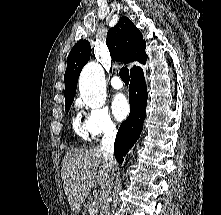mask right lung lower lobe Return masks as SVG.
Returning a JSON list of instances; mask_svg holds the SVG:
<instances>
[{
	"label": "right lung lower lobe",
	"mask_w": 221,
	"mask_h": 215,
	"mask_svg": "<svg viewBox=\"0 0 221 215\" xmlns=\"http://www.w3.org/2000/svg\"><path fill=\"white\" fill-rule=\"evenodd\" d=\"M130 77V114L120 125L114 144V155L119 163H122L123 156L129 151L140 136L147 104V88L143 70L137 68L130 73Z\"/></svg>",
	"instance_id": "98d812e1"
}]
</instances>
